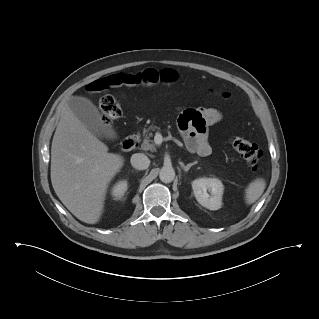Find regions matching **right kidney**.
<instances>
[{
  "label": "right kidney",
  "instance_id": "right-kidney-1",
  "mask_svg": "<svg viewBox=\"0 0 319 319\" xmlns=\"http://www.w3.org/2000/svg\"><path fill=\"white\" fill-rule=\"evenodd\" d=\"M127 181L126 180H121L119 182H117L111 191L112 196L114 197V199H121L122 196L124 195V193L127 191Z\"/></svg>",
  "mask_w": 319,
  "mask_h": 319
}]
</instances>
